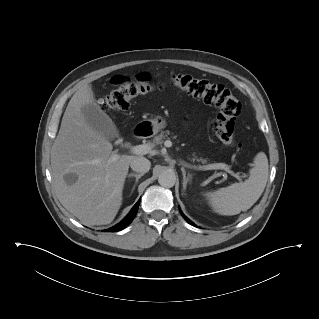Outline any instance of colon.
I'll return each instance as SVG.
<instances>
[{
    "label": "colon",
    "mask_w": 319,
    "mask_h": 319,
    "mask_svg": "<svg viewBox=\"0 0 319 319\" xmlns=\"http://www.w3.org/2000/svg\"><path fill=\"white\" fill-rule=\"evenodd\" d=\"M169 82L182 91L201 98L206 104L214 105L219 110L214 122L217 138L227 145L236 144L234 120L241 111V103L230 89L186 74H174L169 78ZM113 84L115 89L104 99V106L114 112L127 111L133 98L163 86V83L154 82L145 74H138L132 78L115 77Z\"/></svg>",
    "instance_id": "5ec220e1"
}]
</instances>
